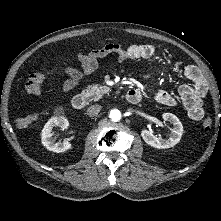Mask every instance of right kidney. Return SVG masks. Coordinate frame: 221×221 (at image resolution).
<instances>
[{
	"mask_svg": "<svg viewBox=\"0 0 221 221\" xmlns=\"http://www.w3.org/2000/svg\"><path fill=\"white\" fill-rule=\"evenodd\" d=\"M68 121L66 119H57L52 118L50 119L44 126L42 132H41V140L42 144L48 149L53 152H65L72 148V144L68 141L63 142H55V140L52 137V130L54 127L58 126L61 129H67L68 127Z\"/></svg>",
	"mask_w": 221,
	"mask_h": 221,
	"instance_id": "right-kidney-1",
	"label": "right kidney"
}]
</instances>
